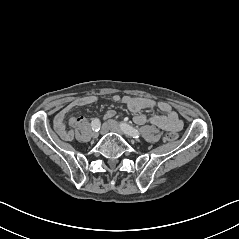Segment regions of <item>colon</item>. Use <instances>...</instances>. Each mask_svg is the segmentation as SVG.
Segmentation results:
<instances>
[{
    "mask_svg": "<svg viewBox=\"0 0 239 239\" xmlns=\"http://www.w3.org/2000/svg\"><path fill=\"white\" fill-rule=\"evenodd\" d=\"M176 139H177V134L175 132L167 133L163 138L165 142H172Z\"/></svg>",
    "mask_w": 239,
    "mask_h": 239,
    "instance_id": "obj_1",
    "label": "colon"
}]
</instances>
